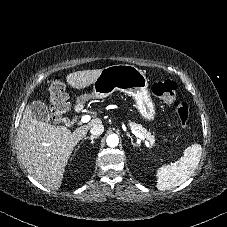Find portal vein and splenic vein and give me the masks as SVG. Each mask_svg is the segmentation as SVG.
Wrapping results in <instances>:
<instances>
[{
	"label": "portal vein and splenic vein",
	"instance_id": "portal-vein-and-splenic-vein-1",
	"mask_svg": "<svg viewBox=\"0 0 227 227\" xmlns=\"http://www.w3.org/2000/svg\"><path fill=\"white\" fill-rule=\"evenodd\" d=\"M91 119V117L89 115H84L81 117V120L80 122L81 123H87L89 122ZM131 132L138 138L144 140V141H147L148 140V137L146 135H144L143 133L137 131V130H134V129H131Z\"/></svg>",
	"mask_w": 227,
	"mask_h": 227
}]
</instances>
